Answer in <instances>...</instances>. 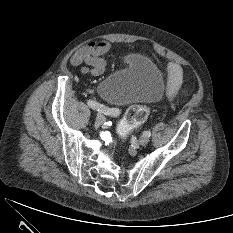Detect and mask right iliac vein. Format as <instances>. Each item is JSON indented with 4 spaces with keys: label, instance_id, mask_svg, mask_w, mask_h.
<instances>
[{
    "label": "right iliac vein",
    "instance_id": "1",
    "mask_svg": "<svg viewBox=\"0 0 233 233\" xmlns=\"http://www.w3.org/2000/svg\"><path fill=\"white\" fill-rule=\"evenodd\" d=\"M104 116L101 114H97L96 119H95V125L100 126L104 122Z\"/></svg>",
    "mask_w": 233,
    "mask_h": 233
}]
</instances>
